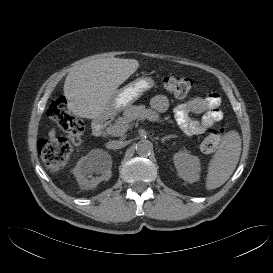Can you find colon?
Instances as JSON below:
<instances>
[{
    "label": "colon",
    "instance_id": "colon-1",
    "mask_svg": "<svg viewBox=\"0 0 273 273\" xmlns=\"http://www.w3.org/2000/svg\"><path fill=\"white\" fill-rule=\"evenodd\" d=\"M165 91L173 97H184L189 94L195 81L189 77L167 76L163 80ZM48 116L54 120L68 134L67 138L55 140H41L38 144L39 154L52 172L61 171L69 160L74 146L80 144L84 126L83 123L68 111L67 100L59 97L52 101L47 110ZM225 136L223 128L215 129L203 140L201 148L204 152L217 150Z\"/></svg>",
    "mask_w": 273,
    "mask_h": 273
}]
</instances>
